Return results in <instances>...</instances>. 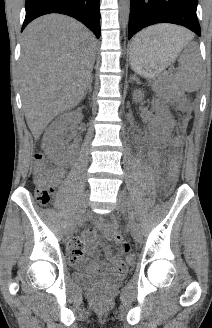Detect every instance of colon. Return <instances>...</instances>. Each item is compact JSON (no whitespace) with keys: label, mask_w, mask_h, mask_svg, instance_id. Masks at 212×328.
Segmentation results:
<instances>
[{"label":"colon","mask_w":212,"mask_h":328,"mask_svg":"<svg viewBox=\"0 0 212 328\" xmlns=\"http://www.w3.org/2000/svg\"><path fill=\"white\" fill-rule=\"evenodd\" d=\"M179 166L178 159L174 157L171 161L168 171V182L170 186H173L178 178ZM52 176V172L45 162V158L41 153L35 155V164L33 170V178L36 183V198L39 203L47 204L53 194V189L48 183L49 178ZM113 239L118 242L117 249L119 253L127 255V261L130 263L134 260V257L130 255V245L127 242L122 241L121 234L119 232L113 233Z\"/></svg>","instance_id":"obj_1"}]
</instances>
